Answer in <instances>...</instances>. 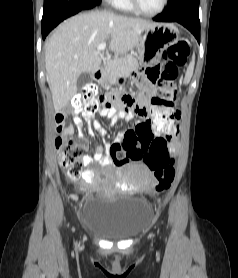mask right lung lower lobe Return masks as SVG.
Here are the masks:
<instances>
[{"label":"right lung lower lobe","mask_w":238,"mask_h":278,"mask_svg":"<svg viewBox=\"0 0 238 278\" xmlns=\"http://www.w3.org/2000/svg\"><path fill=\"white\" fill-rule=\"evenodd\" d=\"M101 0H44L42 17V38L64 19L80 11L91 9Z\"/></svg>","instance_id":"98d812e1"}]
</instances>
